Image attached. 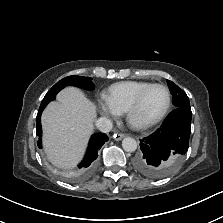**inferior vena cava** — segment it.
Wrapping results in <instances>:
<instances>
[{"instance_id":"obj_1","label":"inferior vena cava","mask_w":223,"mask_h":223,"mask_svg":"<svg viewBox=\"0 0 223 223\" xmlns=\"http://www.w3.org/2000/svg\"><path fill=\"white\" fill-rule=\"evenodd\" d=\"M96 127L103 133H108L111 131L113 125L112 122L106 117L99 118L96 123Z\"/></svg>"}]
</instances>
